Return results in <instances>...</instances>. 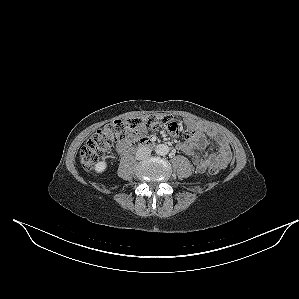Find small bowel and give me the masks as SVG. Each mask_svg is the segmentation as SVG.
<instances>
[{"label": "small bowel", "mask_w": 299, "mask_h": 299, "mask_svg": "<svg viewBox=\"0 0 299 299\" xmlns=\"http://www.w3.org/2000/svg\"><path fill=\"white\" fill-rule=\"evenodd\" d=\"M195 128L197 138L193 142L186 140L181 141L178 144V149L192 157L193 164L199 172H204L212 165H217L221 168H225L232 159V153L228 142L215 130H208L207 135L214 138L217 145V153H210L206 156L201 155V151L206 147L207 140L204 135L205 128L202 126H196L190 124ZM129 145V140L119 144L118 150L123 152Z\"/></svg>", "instance_id": "small-bowel-1"}]
</instances>
